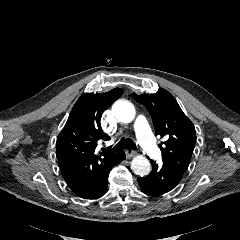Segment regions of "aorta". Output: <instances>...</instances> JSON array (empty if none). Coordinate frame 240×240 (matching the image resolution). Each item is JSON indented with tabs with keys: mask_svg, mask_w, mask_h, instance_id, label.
Here are the masks:
<instances>
[{
	"mask_svg": "<svg viewBox=\"0 0 240 240\" xmlns=\"http://www.w3.org/2000/svg\"><path fill=\"white\" fill-rule=\"evenodd\" d=\"M112 113L118 121L123 123L132 122L136 114L134 106L125 100L116 101L112 106ZM131 168L136 175L146 176L151 171V164L146 157L137 155L131 162Z\"/></svg>",
	"mask_w": 240,
	"mask_h": 240,
	"instance_id": "obj_1",
	"label": "aorta"
}]
</instances>
